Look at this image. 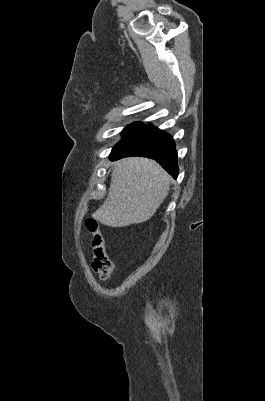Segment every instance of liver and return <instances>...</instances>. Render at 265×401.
I'll use <instances>...</instances> for the list:
<instances>
[{"label": "liver", "mask_w": 265, "mask_h": 401, "mask_svg": "<svg viewBox=\"0 0 265 401\" xmlns=\"http://www.w3.org/2000/svg\"><path fill=\"white\" fill-rule=\"evenodd\" d=\"M170 180V174L151 158L116 160L107 198L92 217L108 227L145 223L162 205Z\"/></svg>", "instance_id": "obj_1"}]
</instances>
